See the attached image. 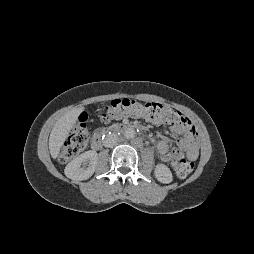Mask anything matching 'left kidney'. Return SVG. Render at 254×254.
I'll return each mask as SVG.
<instances>
[{"label":"left kidney","mask_w":254,"mask_h":254,"mask_svg":"<svg viewBox=\"0 0 254 254\" xmlns=\"http://www.w3.org/2000/svg\"><path fill=\"white\" fill-rule=\"evenodd\" d=\"M155 177L161 183H170L173 179L170 169L164 164H158L155 168Z\"/></svg>","instance_id":"obj_1"}]
</instances>
